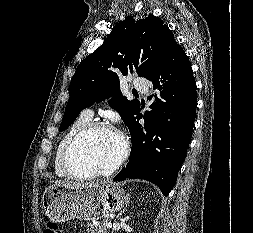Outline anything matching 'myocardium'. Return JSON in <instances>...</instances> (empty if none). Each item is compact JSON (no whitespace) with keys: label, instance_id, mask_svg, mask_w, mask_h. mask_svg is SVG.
<instances>
[{"label":"myocardium","instance_id":"1","mask_svg":"<svg viewBox=\"0 0 253 233\" xmlns=\"http://www.w3.org/2000/svg\"><path fill=\"white\" fill-rule=\"evenodd\" d=\"M99 130H111V131L116 132L119 135L121 139L122 148H121V153L118 159L113 163L112 166H110L109 168L105 170H94V171H90L88 173H83V174L75 172L70 163L71 154L74 148L83 138ZM128 154H129V143H128L127 138L124 136V134L106 122L95 121V122H90L86 126H84L68 142L63 154L62 165L68 177L73 178V179L83 180V179H90V178L101 177V176L105 177V176H110L114 172H116L124 164V162L126 161L128 157Z\"/></svg>","mask_w":253,"mask_h":233}]
</instances>
